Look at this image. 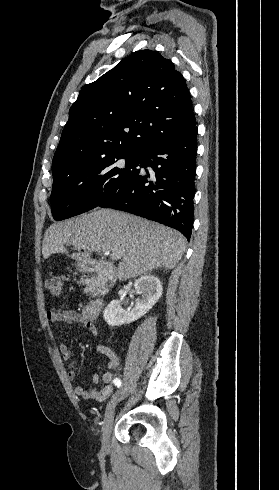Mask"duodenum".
<instances>
[{"label": "duodenum", "mask_w": 279, "mask_h": 490, "mask_svg": "<svg viewBox=\"0 0 279 490\" xmlns=\"http://www.w3.org/2000/svg\"><path fill=\"white\" fill-rule=\"evenodd\" d=\"M82 268L87 272L96 273L101 280L106 283H113L116 279L114 267L106 261L87 260L83 262ZM102 306L103 299L101 297L92 299L86 304L83 310L84 317L89 320L95 319L98 316Z\"/></svg>", "instance_id": "duodenum-1"}]
</instances>
